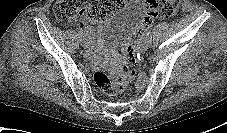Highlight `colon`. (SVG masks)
Listing matches in <instances>:
<instances>
[{
    "label": "colon",
    "instance_id": "colon-1",
    "mask_svg": "<svg viewBox=\"0 0 227 133\" xmlns=\"http://www.w3.org/2000/svg\"><path fill=\"white\" fill-rule=\"evenodd\" d=\"M125 0H56L53 11L58 20L69 23L78 17L81 22L91 24L105 20L120 9ZM181 8V0H145L142 29L150 27L154 18L171 17ZM137 60V50L128 44L122 57V64L113 72L96 71L93 80L98 89L106 95L123 92L135 79L136 71L132 66Z\"/></svg>",
    "mask_w": 227,
    "mask_h": 133
}]
</instances>
